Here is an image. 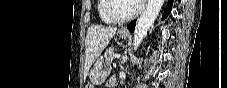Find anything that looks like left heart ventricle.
Wrapping results in <instances>:
<instances>
[{"instance_id":"left-heart-ventricle-1","label":"left heart ventricle","mask_w":227,"mask_h":88,"mask_svg":"<svg viewBox=\"0 0 227 88\" xmlns=\"http://www.w3.org/2000/svg\"><path fill=\"white\" fill-rule=\"evenodd\" d=\"M137 4L134 0H114L112 3V12L118 17H125L131 14Z\"/></svg>"}]
</instances>
